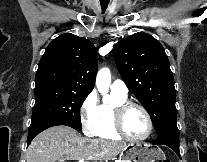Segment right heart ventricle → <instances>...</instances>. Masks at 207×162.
<instances>
[{"mask_svg": "<svg viewBox=\"0 0 207 162\" xmlns=\"http://www.w3.org/2000/svg\"><path fill=\"white\" fill-rule=\"evenodd\" d=\"M127 101V96H119L112 93V101L108 104H101L98 108V123L96 129V136L104 140H120L113 127L112 110L114 106L122 104Z\"/></svg>", "mask_w": 207, "mask_h": 162, "instance_id": "e07e8e85", "label": "right heart ventricle"}]
</instances>
